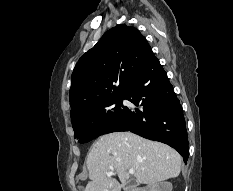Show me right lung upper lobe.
Instances as JSON below:
<instances>
[{"instance_id": "1", "label": "right lung upper lobe", "mask_w": 233, "mask_h": 191, "mask_svg": "<svg viewBox=\"0 0 233 191\" xmlns=\"http://www.w3.org/2000/svg\"><path fill=\"white\" fill-rule=\"evenodd\" d=\"M152 56L150 45L136 28L121 24L108 30L73 70L71 117L126 96Z\"/></svg>"}]
</instances>
